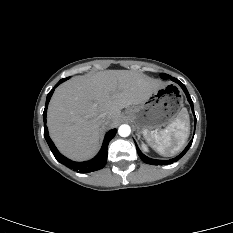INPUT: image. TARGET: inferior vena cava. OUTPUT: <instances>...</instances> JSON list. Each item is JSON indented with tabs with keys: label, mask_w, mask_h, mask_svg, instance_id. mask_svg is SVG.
Returning a JSON list of instances; mask_svg holds the SVG:
<instances>
[{
	"label": "inferior vena cava",
	"mask_w": 233,
	"mask_h": 233,
	"mask_svg": "<svg viewBox=\"0 0 233 233\" xmlns=\"http://www.w3.org/2000/svg\"><path fill=\"white\" fill-rule=\"evenodd\" d=\"M99 121L102 125H105L108 123V119L102 115L99 117Z\"/></svg>",
	"instance_id": "602c4592"
}]
</instances>
